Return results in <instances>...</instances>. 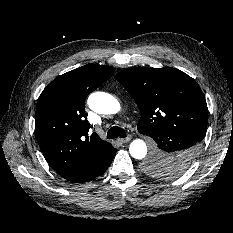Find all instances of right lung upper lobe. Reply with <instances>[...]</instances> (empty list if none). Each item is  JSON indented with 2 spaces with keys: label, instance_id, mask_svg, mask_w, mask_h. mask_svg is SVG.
Segmentation results:
<instances>
[{
  "label": "right lung upper lobe",
  "instance_id": "1",
  "mask_svg": "<svg viewBox=\"0 0 233 233\" xmlns=\"http://www.w3.org/2000/svg\"><path fill=\"white\" fill-rule=\"evenodd\" d=\"M106 65L87 64L54 79L36 106L35 133L49 165L64 177L73 169L104 159L112 145L88 135L84 102L113 73Z\"/></svg>",
  "mask_w": 233,
  "mask_h": 233
}]
</instances>
